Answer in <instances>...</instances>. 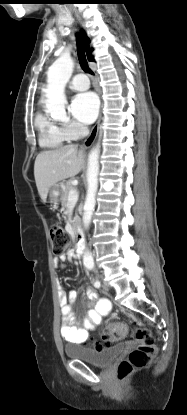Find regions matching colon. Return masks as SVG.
Returning <instances> with one entry per match:
<instances>
[{
  "label": "colon",
  "mask_w": 187,
  "mask_h": 415,
  "mask_svg": "<svg viewBox=\"0 0 187 415\" xmlns=\"http://www.w3.org/2000/svg\"><path fill=\"white\" fill-rule=\"evenodd\" d=\"M52 240V251L55 255H62L69 247L71 239L62 226L52 225L50 228ZM126 328L124 324L115 322L105 328L102 332L100 341L94 343L95 349H103L110 346L115 341L124 338ZM131 336L140 344L130 352L128 357L122 360L118 366V376L120 379L128 377L135 368L145 367L151 357L155 354L157 347L152 332L135 320L131 330Z\"/></svg>",
  "instance_id": "colon-1"
}]
</instances>
